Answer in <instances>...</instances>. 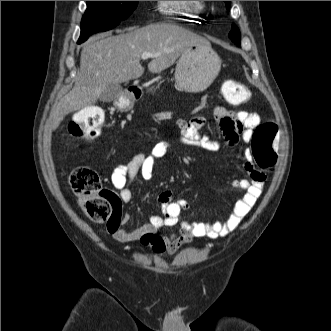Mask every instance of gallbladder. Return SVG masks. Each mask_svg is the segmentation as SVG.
Returning a JSON list of instances; mask_svg holds the SVG:
<instances>
[{
  "label": "gallbladder",
  "mask_w": 331,
  "mask_h": 331,
  "mask_svg": "<svg viewBox=\"0 0 331 331\" xmlns=\"http://www.w3.org/2000/svg\"><path fill=\"white\" fill-rule=\"evenodd\" d=\"M122 94V87L119 84H112L101 93L99 99L102 102H111L118 99Z\"/></svg>",
  "instance_id": "1"
}]
</instances>
